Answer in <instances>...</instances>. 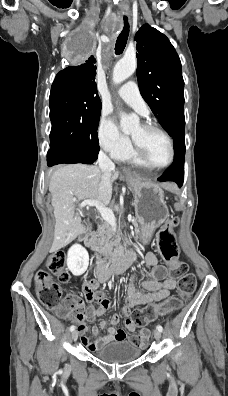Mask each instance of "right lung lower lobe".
Returning <instances> with one entry per match:
<instances>
[{"label":"right lung lower lobe","instance_id":"98d812e1","mask_svg":"<svg viewBox=\"0 0 228 396\" xmlns=\"http://www.w3.org/2000/svg\"><path fill=\"white\" fill-rule=\"evenodd\" d=\"M47 163L48 166L51 167L53 165H57L61 163H79V162L59 151L49 150L47 154Z\"/></svg>","mask_w":228,"mask_h":396}]
</instances>
